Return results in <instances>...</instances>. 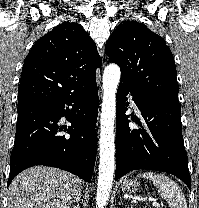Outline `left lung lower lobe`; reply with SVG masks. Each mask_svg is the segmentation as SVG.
Masks as SVG:
<instances>
[{
  "label": "left lung lower lobe",
  "instance_id": "0a47b994",
  "mask_svg": "<svg viewBox=\"0 0 199 208\" xmlns=\"http://www.w3.org/2000/svg\"><path fill=\"white\" fill-rule=\"evenodd\" d=\"M141 111L145 127H129L125 112L127 95ZM159 170L175 175L191 190L187 153L184 148L181 105L152 98L120 81L116 111L115 180L132 170Z\"/></svg>",
  "mask_w": 199,
  "mask_h": 208
}]
</instances>
